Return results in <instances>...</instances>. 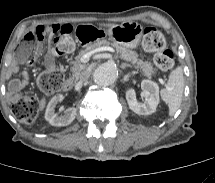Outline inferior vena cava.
I'll use <instances>...</instances> for the list:
<instances>
[{
  "mask_svg": "<svg viewBox=\"0 0 215 183\" xmlns=\"http://www.w3.org/2000/svg\"><path fill=\"white\" fill-rule=\"evenodd\" d=\"M90 72L88 70H84L80 75V80L85 81L89 78Z\"/></svg>",
  "mask_w": 215,
  "mask_h": 183,
  "instance_id": "1",
  "label": "inferior vena cava"
}]
</instances>
